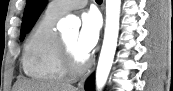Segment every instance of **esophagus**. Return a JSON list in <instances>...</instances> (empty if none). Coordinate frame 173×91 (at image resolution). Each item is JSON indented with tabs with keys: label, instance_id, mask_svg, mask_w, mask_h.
Listing matches in <instances>:
<instances>
[{
	"label": "esophagus",
	"instance_id": "esophagus-1",
	"mask_svg": "<svg viewBox=\"0 0 173 91\" xmlns=\"http://www.w3.org/2000/svg\"><path fill=\"white\" fill-rule=\"evenodd\" d=\"M86 78L79 84L80 90L84 89V83H85Z\"/></svg>",
	"mask_w": 173,
	"mask_h": 91
}]
</instances>
